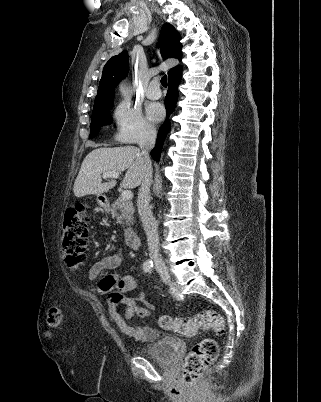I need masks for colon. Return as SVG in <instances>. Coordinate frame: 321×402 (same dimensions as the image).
<instances>
[{
  "label": "colon",
  "instance_id": "1",
  "mask_svg": "<svg viewBox=\"0 0 321 402\" xmlns=\"http://www.w3.org/2000/svg\"><path fill=\"white\" fill-rule=\"evenodd\" d=\"M89 222L84 206L68 207L65 210L62 226V247L67 266L75 270L84 260L87 246ZM125 297L118 292L109 294V302L121 303ZM64 315L61 309L54 307L48 312L47 322L51 329L60 327ZM163 329L172 330L182 335H194L201 329H210L216 334H223L225 322L223 317L213 310L200 311L193 318H171L163 316L159 320ZM218 346L213 339H204L194 345L186 356L182 368L185 384H193L206 368L216 360Z\"/></svg>",
  "mask_w": 321,
  "mask_h": 402
}]
</instances>
